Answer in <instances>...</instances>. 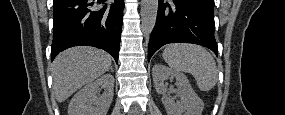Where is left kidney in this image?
Returning a JSON list of instances; mask_svg holds the SVG:
<instances>
[{
    "mask_svg": "<svg viewBox=\"0 0 285 115\" xmlns=\"http://www.w3.org/2000/svg\"><path fill=\"white\" fill-rule=\"evenodd\" d=\"M152 76L157 93L163 95L162 102L167 115H181L183 112H185L184 115L202 114L204 103L194 92L185 74L173 71L162 64H155L152 69ZM168 78L176 79L177 94L181 99L179 103H175L167 94L168 89L164 80Z\"/></svg>",
    "mask_w": 285,
    "mask_h": 115,
    "instance_id": "1",
    "label": "left kidney"
}]
</instances>
